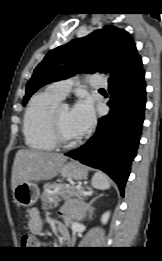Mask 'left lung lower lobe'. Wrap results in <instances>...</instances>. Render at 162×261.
<instances>
[{
	"label": "left lung lower lobe",
	"instance_id": "1",
	"mask_svg": "<svg viewBox=\"0 0 162 261\" xmlns=\"http://www.w3.org/2000/svg\"><path fill=\"white\" fill-rule=\"evenodd\" d=\"M142 59L109 80L110 112L99 119L96 133L81 148L66 153L107 173L124 195L131 163L137 154L146 105Z\"/></svg>",
	"mask_w": 162,
	"mask_h": 261
}]
</instances>
